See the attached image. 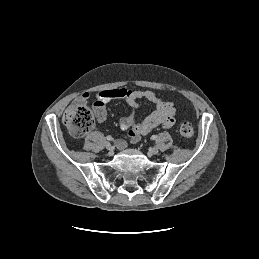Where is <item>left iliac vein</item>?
Wrapping results in <instances>:
<instances>
[{"mask_svg": "<svg viewBox=\"0 0 259 259\" xmlns=\"http://www.w3.org/2000/svg\"><path fill=\"white\" fill-rule=\"evenodd\" d=\"M158 152H159V150H158V147H156V146L150 148V150H149V153H150L151 155H156Z\"/></svg>", "mask_w": 259, "mask_h": 259, "instance_id": "1", "label": "left iliac vein"}]
</instances>
